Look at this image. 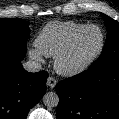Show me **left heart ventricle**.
Segmentation results:
<instances>
[{"label": "left heart ventricle", "mask_w": 119, "mask_h": 119, "mask_svg": "<svg viewBox=\"0 0 119 119\" xmlns=\"http://www.w3.org/2000/svg\"><path fill=\"white\" fill-rule=\"evenodd\" d=\"M100 39V32L97 29L86 31L76 42L68 57V63L78 64L87 60L98 49Z\"/></svg>", "instance_id": "1"}]
</instances>
